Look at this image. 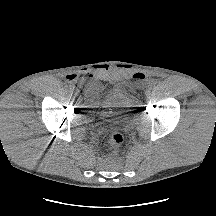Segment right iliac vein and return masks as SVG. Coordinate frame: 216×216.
Wrapping results in <instances>:
<instances>
[{"instance_id":"obj_1","label":"right iliac vein","mask_w":216,"mask_h":216,"mask_svg":"<svg viewBox=\"0 0 216 216\" xmlns=\"http://www.w3.org/2000/svg\"><path fill=\"white\" fill-rule=\"evenodd\" d=\"M72 94H77V89H74V91H72Z\"/></svg>"}]
</instances>
